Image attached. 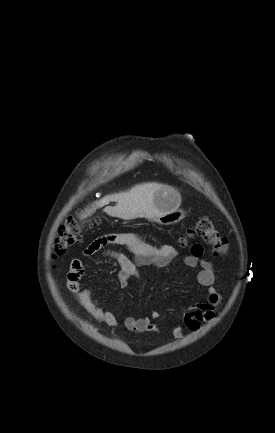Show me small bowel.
Here are the masks:
<instances>
[{
    "label": "small bowel",
    "mask_w": 275,
    "mask_h": 433,
    "mask_svg": "<svg viewBox=\"0 0 275 433\" xmlns=\"http://www.w3.org/2000/svg\"><path fill=\"white\" fill-rule=\"evenodd\" d=\"M107 245L126 248L135 255V260H130L122 253L106 248ZM98 252H102L105 256L118 263L120 266L118 281L122 288L128 287L132 278L140 276V267L166 266L177 254L175 247L172 245H152L141 237L127 232L107 234L94 240L85 250L87 255H94ZM202 254V245L194 244L191 247V254L184 259V264L187 267L199 268L196 276L197 282L199 285L207 288L205 300L191 305L184 313V326L192 332L197 331L202 323L213 319L215 311L221 302V296L214 287L215 273L213 264L202 259ZM83 272V261L79 258H74L71 261L67 274L68 289L75 296L76 300L96 319L111 328L117 327L119 325L117 317L110 310L102 307L88 288H83L81 282ZM160 317V312L152 311L150 317H126L123 320V324L132 332H155L156 326L153 320ZM171 332L176 339H180L184 335V331L180 326L172 327Z\"/></svg>",
    "instance_id": "obj_1"
}]
</instances>
